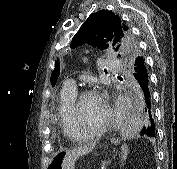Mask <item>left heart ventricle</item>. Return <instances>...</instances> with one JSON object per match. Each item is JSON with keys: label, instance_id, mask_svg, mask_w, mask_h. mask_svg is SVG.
Returning <instances> with one entry per match:
<instances>
[{"label": "left heart ventricle", "instance_id": "b2bd125f", "mask_svg": "<svg viewBox=\"0 0 177 169\" xmlns=\"http://www.w3.org/2000/svg\"><path fill=\"white\" fill-rule=\"evenodd\" d=\"M105 117V106L100 98L92 95L83 98L79 107L80 127L83 132L100 127Z\"/></svg>", "mask_w": 177, "mask_h": 169}]
</instances>
